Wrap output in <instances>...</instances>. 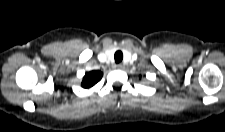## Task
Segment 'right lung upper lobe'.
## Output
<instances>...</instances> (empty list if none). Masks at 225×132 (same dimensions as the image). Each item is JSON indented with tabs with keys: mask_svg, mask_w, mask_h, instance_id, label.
Here are the masks:
<instances>
[{
	"mask_svg": "<svg viewBox=\"0 0 225 132\" xmlns=\"http://www.w3.org/2000/svg\"><path fill=\"white\" fill-rule=\"evenodd\" d=\"M103 76V73L98 70H93L85 74L82 81V87L91 88L98 83Z\"/></svg>",
	"mask_w": 225,
	"mask_h": 132,
	"instance_id": "obj_1",
	"label": "right lung upper lobe"
}]
</instances>
